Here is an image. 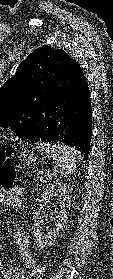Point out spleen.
<instances>
[{"label":"spleen","mask_w":113,"mask_h":279,"mask_svg":"<svg viewBox=\"0 0 113 279\" xmlns=\"http://www.w3.org/2000/svg\"><path fill=\"white\" fill-rule=\"evenodd\" d=\"M36 145L47 158L53 160L63 175L73 173L82 159L81 153L71 146L49 142H38Z\"/></svg>","instance_id":"1"}]
</instances>
